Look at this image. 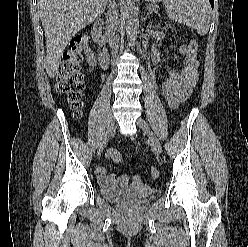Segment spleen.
Returning <instances> with one entry per match:
<instances>
[{"instance_id": "1", "label": "spleen", "mask_w": 248, "mask_h": 247, "mask_svg": "<svg viewBox=\"0 0 248 247\" xmlns=\"http://www.w3.org/2000/svg\"><path fill=\"white\" fill-rule=\"evenodd\" d=\"M169 19L194 28L199 35H206L210 26L211 7L208 0H167Z\"/></svg>"}]
</instances>
